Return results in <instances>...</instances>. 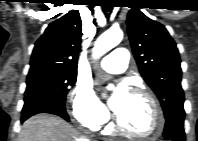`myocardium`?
Returning a JSON list of instances; mask_svg holds the SVG:
<instances>
[{"label": "myocardium", "mask_w": 198, "mask_h": 141, "mask_svg": "<svg viewBox=\"0 0 198 141\" xmlns=\"http://www.w3.org/2000/svg\"><path fill=\"white\" fill-rule=\"evenodd\" d=\"M132 93L145 97L149 101V103L151 104L152 116H153V128L148 133H143V134L131 131V130L127 129L121 123L118 115L115 114L114 115V122H115L116 128L119 131L123 132L124 134H126L130 137H133V138L151 139V138L156 137L159 134V132L161 131L162 124H163L162 113H161V109H160L158 101L149 91H147L143 88H135V89L132 90Z\"/></svg>", "instance_id": "1"}]
</instances>
